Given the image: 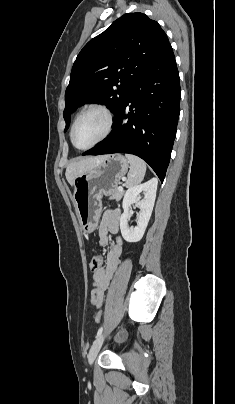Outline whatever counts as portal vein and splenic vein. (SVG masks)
<instances>
[{
    "mask_svg": "<svg viewBox=\"0 0 235 404\" xmlns=\"http://www.w3.org/2000/svg\"><path fill=\"white\" fill-rule=\"evenodd\" d=\"M118 190H119V191H123V187L120 186V187L118 188Z\"/></svg>",
    "mask_w": 235,
    "mask_h": 404,
    "instance_id": "portal-vein-and-splenic-vein-1",
    "label": "portal vein and splenic vein"
}]
</instances>
